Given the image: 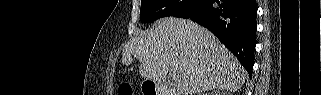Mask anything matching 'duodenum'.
I'll use <instances>...</instances> for the list:
<instances>
[{
  "label": "duodenum",
  "instance_id": "obj_1",
  "mask_svg": "<svg viewBox=\"0 0 321 95\" xmlns=\"http://www.w3.org/2000/svg\"><path fill=\"white\" fill-rule=\"evenodd\" d=\"M154 95H163V93L159 89H156ZM165 95H170V93H165Z\"/></svg>",
  "mask_w": 321,
  "mask_h": 95
}]
</instances>
